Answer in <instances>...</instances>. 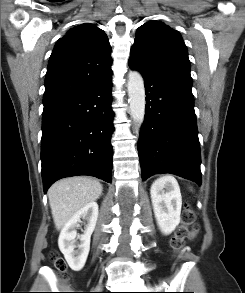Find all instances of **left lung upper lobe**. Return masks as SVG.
<instances>
[{
	"instance_id": "left-lung-upper-lobe-1",
	"label": "left lung upper lobe",
	"mask_w": 245,
	"mask_h": 293,
	"mask_svg": "<svg viewBox=\"0 0 245 293\" xmlns=\"http://www.w3.org/2000/svg\"><path fill=\"white\" fill-rule=\"evenodd\" d=\"M130 58L192 86L186 45L162 22L151 20L138 28Z\"/></svg>"
}]
</instances>
